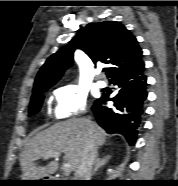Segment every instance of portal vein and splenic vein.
Here are the masks:
<instances>
[{"label":"portal vein and splenic vein","instance_id":"obj_1","mask_svg":"<svg viewBox=\"0 0 178 186\" xmlns=\"http://www.w3.org/2000/svg\"><path fill=\"white\" fill-rule=\"evenodd\" d=\"M60 155H61L60 152H48L46 153L45 157L46 158H50V157L57 158V157H60ZM71 169H72L71 165L69 163H65L63 166L64 175L68 176L71 172Z\"/></svg>","mask_w":178,"mask_h":186}]
</instances>
